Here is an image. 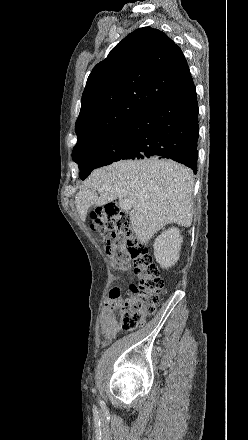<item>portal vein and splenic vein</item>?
<instances>
[{"label": "portal vein and splenic vein", "mask_w": 248, "mask_h": 440, "mask_svg": "<svg viewBox=\"0 0 248 440\" xmlns=\"http://www.w3.org/2000/svg\"><path fill=\"white\" fill-rule=\"evenodd\" d=\"M133 201L129 199H121L120 207L123 210H130L132 208Z\"/></svg>", "instance_id": "18ae733b"}]
</instances>
